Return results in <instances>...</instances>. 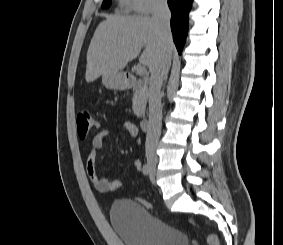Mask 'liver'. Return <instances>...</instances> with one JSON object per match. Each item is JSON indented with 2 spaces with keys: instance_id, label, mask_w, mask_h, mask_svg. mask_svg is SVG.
Segmentation results:
<instances>
[{
  "instance_id": "6515ba94",
  "label": "liver",
  "mask_w": 283,
  "mask_h": 245,
  "mask_svg": "<svg viewBox=\"0 0 283 245\" xmlns=\"http://www.w3.org/2000/svg\"><path fill=\"white\" fill-rule=\"evenodd\" d=\"M144 48L139 61L151 72L162 56L160 29L153 17L108 16L102 21L87 51L86 81L107 72H119ZM173 42L170 50L173 51Z\"/></svg>"
}]
</instances>
